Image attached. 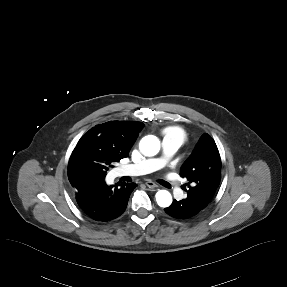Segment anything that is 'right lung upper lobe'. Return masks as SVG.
<instances>
[{
    "label": "right lung upper lobe",
    "mask_w": 287,
    "mask_h": 287,
    "mask_svg": "<svg viewBox=\"0 0 287 287\" xmlns=\"http://www.w3.org/2000/svg\"><path fill=\"white\" fill-rule=\"evenodd\" d=\"M144 124L135 121H109L91 128L78 142L73 153L110 155L119 162L128 156ZM74 187L76 181H70Z\"/></svg>",
    "instance_id": "obj_1"
}]
</instances>
